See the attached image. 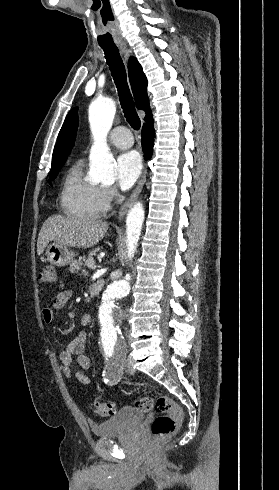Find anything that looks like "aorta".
Returning <instances> with one entry per match:
<instances>
[{
    "mask_svg": "<svg viewBox=\"0 0 279 490\" xmlns=\"http://www.w3.org/2000/svg\"><path fill=\"white\" fill-rule=\"evenodd\" d=\"M116 106L111 99H101L89 107V122L94 143L90 151V177L93 181L112 184L115 181V159L107 146L106 138L112 127ZM144 208L136 203L126 219V243L128 258L134 257L144 221ZM130 292L127 280H118L107 286L98 305V333L102 345H118L123 342L119 327L122 319L115 301Z\"/></svg>",
    "mask_w": 279,
    "mask_h": 490,
    "instance_id": "aorta-1",
    "label": "aorta"
}]
</instances>
